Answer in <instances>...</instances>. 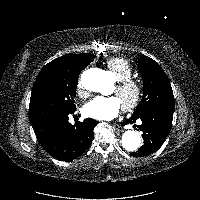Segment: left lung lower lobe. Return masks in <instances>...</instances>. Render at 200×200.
<instances>
[{"label": "left lung lower lobe", "mask_w": 200, "mask_h": 200, "mask_svg": "<svg viewBox=\"0 0 200 200\" xmlns=\"http://www.w3.org/2000/svg\"><path fill=\"white\" fill-rule=\"evenodd\" d=\"M137 119L142 121L139 129L143 131L144 142L137 152H132L130 155L143 157L156 152L161 147L171 130L173 113L149 109L139 116L129 118L124 124H133Z\"/></svg>", "instance_id": "left-lung-lower-lobe-1"}]
</instances>
